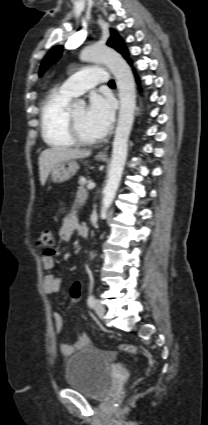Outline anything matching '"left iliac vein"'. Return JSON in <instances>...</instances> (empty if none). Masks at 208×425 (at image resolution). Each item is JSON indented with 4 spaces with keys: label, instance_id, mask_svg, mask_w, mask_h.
Here are the masks:
<instances>
[{
    "label": "left iliac vein",
    "instance_id": "left-iliac-vein-1",
    "mask_svg": "<svg viewBox=\"0 0 208 425\" xmlns=\"http://www.w3.org/2000/svg\"><path fill=\"white\" fill-rule=\"evenodd\" d=\"M94 309H95L96 314L99 317H103L104 316V314H105V308H104V305L101 303L100 300H96L95 301Z\"/></svg>",
    "mask_w": 208,
    "mask_h": 425
}]
</instances>
